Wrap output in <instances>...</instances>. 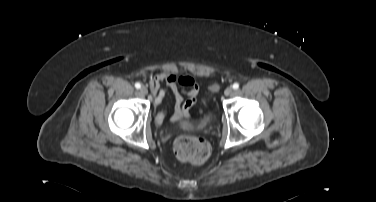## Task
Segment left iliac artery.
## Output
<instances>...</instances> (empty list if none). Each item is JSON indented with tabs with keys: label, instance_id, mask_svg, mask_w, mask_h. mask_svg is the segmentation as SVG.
<instances>
[{
	"label": "left iliac artery",
	"instance_id": "44dca946",
	"mask_svg": "<svg viewBox=\"0 0 376 202\" xmlns=\"http://www.w3.org/2000/svg\"><path fill=\"white\" fill-rule=\"evenodd\" d=\"M238 88H239V84H238V83H234V84H233V89L236 90V89H238Z\"/></svg>",
	"mask_w": 376,
	"mask_h": 202
}]
</instances>
